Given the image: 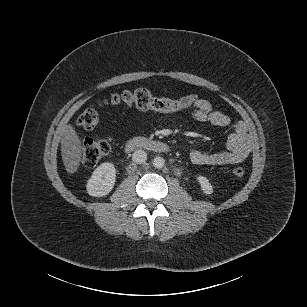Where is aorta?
I'll list each match as a JSON object with an SVG mask.
<instances>
[{"mask_svg": "<svg viewBox=\"0 0 307 307\" xmlns=\"http://www.w3.org/2000/svg\"><path fill=\"white\" fill-rule=\"evenodd\" d=\"M165 161L162 157H156L153 160V166L156 169H162L164 167Z\"/></svg>", "mask_w": 307, "mask_h": 307, "instance_id": "obj_1", "label": "aorta"}]
</instances>
